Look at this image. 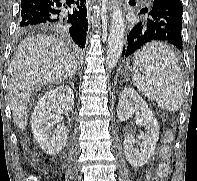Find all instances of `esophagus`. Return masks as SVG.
<instances>
[{
    "mask_svg": "<svg viewBox=\"0 0 197 181\" xmlns=\"http://www.w3.org/2000/svg\"><path fill=\"white\" fill-rule=\"evenodd\" d=\"M112 3H113V0H109V1H108V8H109V9L112 8Z\"/></svg>",
    "mask_w": 197,
    "mask_h": 181,
    "instance_id": "34e87169",
    "label": "esophagus"
}]
</instances>
